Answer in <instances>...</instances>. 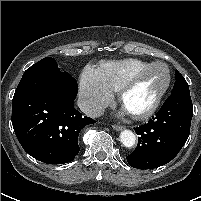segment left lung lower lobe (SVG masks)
I'll use <instances>...</instances> for the list:
<instances>
[{"instance_id": "1", "label": "left lung lower lobe", "mask_w": 201, "mask_h": 201, "mask_svg": "<svg viewBox=\"0 0 201 201\" xmlns=\"http://www.w3.org/2000/svg\"><path fill=\"white\" fill-rule=\"evenodd\" d=\"M192 116L190 91L171 93L155 117L134 128L139 135L138 145L126 157L129 165L153 169L170 162L187 141Z\"/></svg>"}]
</instances>
